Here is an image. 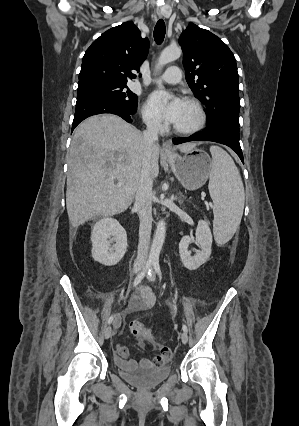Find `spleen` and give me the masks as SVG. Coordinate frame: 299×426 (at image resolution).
Returning <instances> with one entry per match:
<instances>
[{
    "mask_svg": "<svg viewBox=\"0 0 299 426\" xmlns=\"http://www.w3.org/2000/svg\"><path fill=\"white\" fill-rule=\"evenodd\" d=\"M212 170L209 192L213 200V232L217 243L228 242L240 225L245 193L243 182L233 159L218 146L210 147Z\"/></svg>",
    "mask_w": 299,
    "mask_h": 426,
    "instance_id": "1",
    "label": "spleen"
}]
</instances>
